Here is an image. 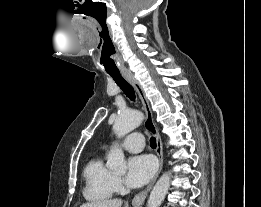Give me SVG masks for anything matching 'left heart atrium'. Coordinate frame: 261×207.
<instances>
[{"label":"left heart atrium","mask_w":261,"mask_h":207,"mask_svg":"<svg viewBox=\"0 0 261 207\" xmlns=\"http://www.w3.org/2000/svg\"><path fill=\"white\" fill-rule=\"evenodd\" d=\"M156 171V162L150 155H136L128 161L126 182L131 187L146 184Z\"/></svg>","instance_id":"39dd6f15"}]
</instances>
